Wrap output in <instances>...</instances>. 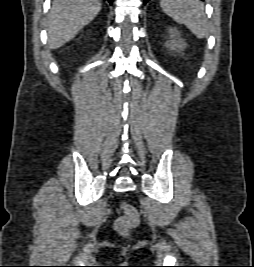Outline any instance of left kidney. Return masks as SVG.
<instances>
[{"instance_id":"5707ae66","label":"left kidney","mask_w":254,"mask_h":267,"mask_svg":"<svg viewBox=\"0 0 254 267\" xmlns=\"http://www.w3.org/2000/svg\"><path fill=\"white\" fill-rule=\"evenodd\" d=\"M168 32L170 33V41L165 43V46L169 48L171 51H183L186 43L181 38L179 31L176 28H169Z\"/></svg>"}]
</instances>
